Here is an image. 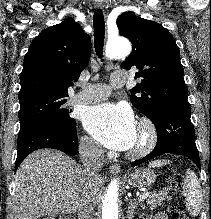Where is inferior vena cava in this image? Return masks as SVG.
<instances>
[{
    "instance_id": "602c4592",
    "label": "inferior vena cava",
    "mask_w": 211,
    "mask_h": 219,
    "mask_svg": "<svg viewBox=\"0 0 211 219\" xmlns=\"http://www.w3.org/2000/svg\"><path fill=\"white\" fill-rule=\"evenodd\" d=\"M103 153L101 145L89 138L82 139L79 143V154L86 185L77 202L78 219H94L95 202L92 190L96 187L98 173L103 167Z\"/></svg>"
}]
</instances>
